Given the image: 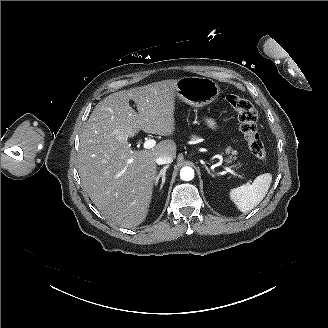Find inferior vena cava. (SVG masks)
Segmentation results:
<instances>
[{
    "label": "inferior vena cava",
    "instance_id": "602c4592",
    "mask_svg": "<svg viewBox=\"0 0 328 328\" xmlns=\"http://www.w3.org/2000/svg\"><path fill=\"white\" fill-rule=\"evenodd\" d=\"M172 162H173V158L170 157V156H165V155L159 156L156 159V163L158 165L169 164V163H172Z\"/></svg>",
    "mask_w": 328,
    "mask_h": 328
}]
</instances>
